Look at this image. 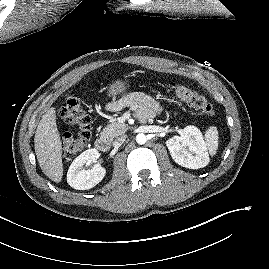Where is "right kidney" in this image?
Segmentation results:
<instances>
[{
    "instance_id": "obj_1",
    "label": "right kidney",
    "mask_w": 269,
    "mask_h": 269,
    "mask_svg": "<svg viewBox=\"0 0 269 269\" xmlns=\"http://www.w3.org/2000/svg\"><path fill=\"white\" fill-rule=\"evenodd\" d=\"M99 157L96 149H88L81 153L70 165L67 183L76 190H88L96 186L105 176L106 170L99 164L91 169H82L87 163H95Z\"/></svg>"
}]
</instances>
